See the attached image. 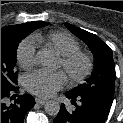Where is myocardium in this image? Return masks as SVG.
Listing matches in <instances>:
<instances>
[{
  "instance_id": "1",
  "label": "myocardium",
  "mask_w": 123,
  "mask_h": 123,
  "mask_svg": "<svg viewBox=\"0 0 123 123\" xmlns=\"http://www.w3.org/2000/svg\"><path fill=\"white\" fill-rule=\"evenodd\" d=\"M59 60L69 79L75 83L86 80L94 69L93 57L80 49L61 55Z\"/></svg>"
}]
</instances>
